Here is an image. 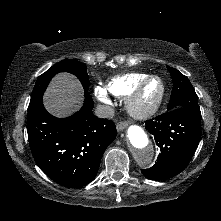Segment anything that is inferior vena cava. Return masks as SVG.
<instances>
[{"instance_id":"inferior-vena-cava-1","label":"inferior vena cava","mask_w":221,"mask_h":221,"mask_svg":"<svg viewBox=\"0 0 221 221\" xmlns=\"http://www.w3.org/2000/svg\"><path fill=\"white\" fill-rule=\"evenodd\" d=\"M95 115L99 118L111 119L114 116V109L109 105H98L95 109Z\"/></svg>"}]
</instances>
